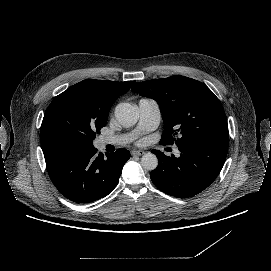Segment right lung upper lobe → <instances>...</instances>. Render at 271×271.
I'll use <instances>...</instances> for the list:
<instances>
[{"label": "right lung upper lobe", "mask_w": 271, "mask_h": 271, "mask_svg": "<svg viewBox=\"0 0 271 271\" xmlns=\"http://www.w3.org/2000/svg\"><path fill=\"white\" fill-rule=\"evenodd\" d=\"M135 81L116 82L108 80L81 81L60 94L74 97L81 109L97 120H107L112 104L125 94Z\"/></svg>", "instance_id": "cb5924a9"}]
</instances>
